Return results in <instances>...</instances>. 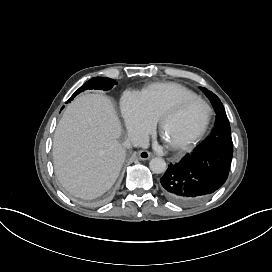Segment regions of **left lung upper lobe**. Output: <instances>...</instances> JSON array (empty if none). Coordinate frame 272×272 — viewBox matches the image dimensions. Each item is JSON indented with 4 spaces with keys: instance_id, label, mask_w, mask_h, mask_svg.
I'll use <instances>...</instances> for the list:
<instances>
[{
    "instance_id": "obj_1",
    "label": "left lung upper lobe",
    "mask_w": 272,
    "mask_h": 272,
    "mask_svg": "<svg viewBox=\"0 0 272 272\" xmlns=\"http://www.w3.org/2000/svg\"><path fill=\"white\" fill-rule=\"evenodd\" d=\"M201 89L210 99L217 116L212 134L200 147H197L196 150L219 149L233 153L230 124L224 106L214 93L206 88Z\"/></svg>"
}]
</instances>
